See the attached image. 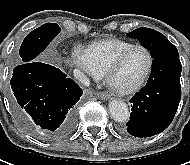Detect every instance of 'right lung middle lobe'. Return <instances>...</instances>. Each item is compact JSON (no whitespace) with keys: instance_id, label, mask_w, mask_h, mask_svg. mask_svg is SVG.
I'll list each match as a JSON object with an SVG mask.
<instances>
[{"instance_id":"right-lung-middle-lobe-1","label":"right lung middle lobe","mask_w":190,"mask_h":165,"mask_svg":"<svg viewBox=\"0 0 190 165\" xmlns=\"http://www.w3.org/2000/svg\"><path fill=\"white\" fill-rule=\"evenodd\" d=\"M56 23H46L30 32L20 47L22 63L33 61L60 32Z\"/></svg>"}]
</instances>
